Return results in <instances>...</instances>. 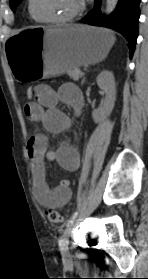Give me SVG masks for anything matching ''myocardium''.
Here are the masks:
<instances>
[{"mask_svg": "<svg viewBox=\"0 0 148 279\" xmlns=\"http://www.w3.org/2000/svg\"><path fill=\"white\" fill-rule=\"evenodd\" d=\"M33 3H34V0H29L28 9H29L30 15L36 21H39L41 23H47V24H63V23H68V22L75 21L76 19H78L82 15V13L85 10V0H79V5H78L77 9L74 10L69 15H66L64 17H56V18H42V17H39L34 12Z\"/></svg>", "mask_w": 148, "mask_h": 279, "instance_id": "obj_1", "label": "myocardium"}]
</instances>
